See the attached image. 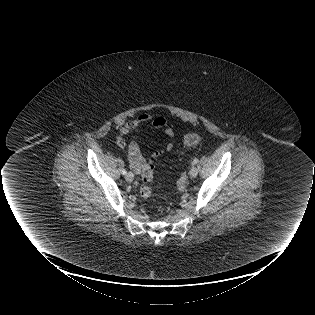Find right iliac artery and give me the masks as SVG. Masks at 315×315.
Masks as SVG:
<instances>
[{
	"instance_id": "obj_1",
	"label": "right iliac artery",
	"mask_w": 315,
	"mask_h": 315,
	"mask_svg": "<svg viewBox=\"0 0 315 315\" xmlns=\"http://www.w3.org/2000/svg\"><path fill=\"white\" fill-rule=\"evenodd\" d=\"M127 173L126 169L122 170V174L125 175Z\"/></svg>"
}]
</instances>
